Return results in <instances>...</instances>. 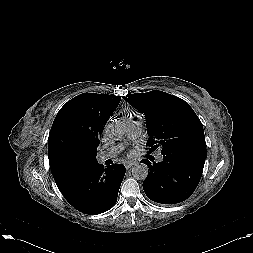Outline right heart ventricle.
<instances>
[{
    "label": "right heart ventricle",
    "mask_w": 253,
    "mask_h": 253,
    "mask_svg": "<svg viewBox=\"0 0 253 253\" xmlns=\"http://www.w3.org/2000/svg\"><path fill=\"white\" fill-rule=\"evenodd\" d=\"M123 113H124V118H125V120H127V119H132V118H134V117L137 116V114H136L135 112H133L132 110H130V109H128V108H125V109L123 110Z\"/></svg>",
    "instance_id": "obj_1"
}]
</instances>
